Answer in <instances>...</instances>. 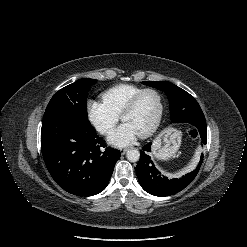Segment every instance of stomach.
<instances>
[{
	"label": "stomach",
	"instance_id": "1",
	"mask_svg": "<svg viewBox=\"0 0 247 247\" xmlns=\"http://www.w3.org/2000/svg\"><path fill=\"white\" fill-rule=\"evenodd\" d=\"M181 144V132L175 128L163 130L154 140L152 155L161 160L175 156Z\"/></svg>",
	"mask_w": 247,
	"mask_h": 247
}]
</instances>
